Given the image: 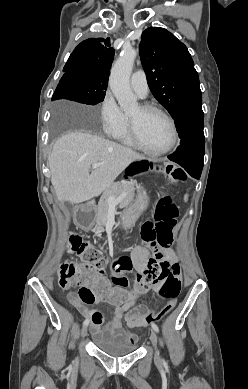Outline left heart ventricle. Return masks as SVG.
<instances>
[{"label": "left heart ventricle", "instance_id": "1", "mask_svg": "<svg viewBox=\"0 0 248 389\" xmlns=\"http://www.w3.org/2000/svg\"><path fill=\"white\" fill-rule=\"evenodd\" d=\"M137 124L139 135L144 144L154 150L169 145L172 131L168 121L157 112H144L139 106L128 114Z\"/></svg>", "mask_w": 248, "mask_h": 389}]
</instances>
